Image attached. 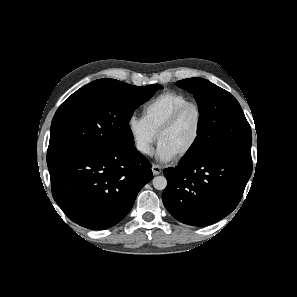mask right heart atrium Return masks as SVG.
<instances>
[{
  "mask_svg": "<svg viewBox=\"0 0 297 297\" xmlns=\"http://www.w3.org/2000/svg\"><path fill=\"white\" fill-rule=\"evenodd\" d=\"M127 129L135 150L142 155L151 154L156 133L150 128L145 119L134 114L129 116Z\"/></svg>",
  "mask_w": 297,
  "mask_h": 297,
  "instance_id": "1",
  "label": "right heart atrium"
}]
</instances>
